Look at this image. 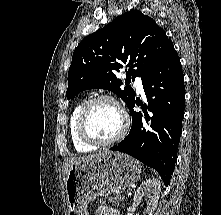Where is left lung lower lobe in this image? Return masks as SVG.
Listing matches in <instances>:
<instances>
[{
    "label": "left lung lower lobe",
    "mask_w": 221,
    "mask_h": 215,
    "mask_svg": "<svg viewBox=\"0 0 221 215\" xmlns=\"http://www.w3.org/2000/svg\"><path fill=\"white\" fill-rule=\"evenodd\" d=\"M147 104L134 99L128 106L132 127L125 139L110 148L140 160L158 171L168 186L176 162L184 113V76L170 44L157 64L142 78ZM140 105L142 112H135Z\"/></svg>",
    "instance_id": "obj_1"
}]
</instances>
